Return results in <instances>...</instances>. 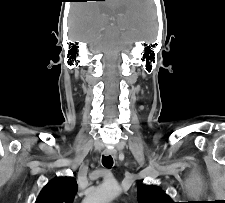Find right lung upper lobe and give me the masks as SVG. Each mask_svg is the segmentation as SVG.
Returning <instances> with one entry per match:
<instances>
[{
    "label": "right lung upper lobe",
    "instance_id": "1",
    "mask_svg": "<svg viewBox=\"0 0 225 203\" xmlns=\"http://www.w3.org/2000/svg\"><path fill=\"white\" fill-rule=\"evenodd\" d=\"M78 185L72 177H56L41 191L35 203H73Z\"/></svg>",
    "mask_w": 225,
    "mask_h": 203
}]
</instances>
